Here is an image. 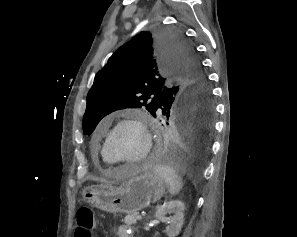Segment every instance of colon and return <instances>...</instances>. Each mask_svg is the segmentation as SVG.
<instances>
[{
  "label": "colon",
  "mask_w": 297,
  "mask_h": 237,
  "mask_svg": "<svg viewBox=\"0 0 297 237\" xmlns=\"http://www.w3.org/2000/svg\"><path fill=\"white\" fill-rule=\"evenodd\" d=\"M94 216L88 207H81L77 212L75 237H93Z\"/></svg>",
  "instance_id": "1"
}]
</instances>
